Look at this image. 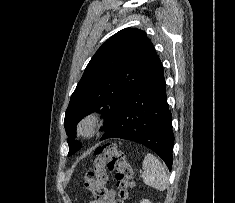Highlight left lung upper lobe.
Listing matches in <instances>:
<instances>
[{
	"instance_id": "5c2ea615",
	"label": "left lung upper lobe",
	"mask_w": 235,
	"mask_h": 203,
	"mask_svg": "<svg viewBox=\"0 0 235 203\" xmlns=\"http://www.w3.org/2000/svg\"><path fill=\"white\" fill-rule=\"evenodd\" d=\"M157 56L145 32L125 28L110 37L94 54L73 92L64 126L69 153L81 148L74 140L77 123L91 112L104 115L106 130Z\"/></svg>"
}]
</instances>
